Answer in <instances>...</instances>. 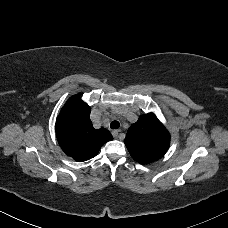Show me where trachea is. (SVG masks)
I'll use <instances>...</instances> for the list:
<instances>
[{
    "label": "trachea",
    "instance_id": "obj_1",
    "mask_svg": "<svg viewBox=\"0 0 228 228\" xmlns=\"http://www.w3.org/2000/svg\"><path fill=\"white\" fill-rule=\"evenodd\" d=\"M119 127H120V123L117 120L112 121L110 124L111 129H118Z\"/></svg>",
    "mask_w": 228,
    "mask_h": 228
}]
</instances>
